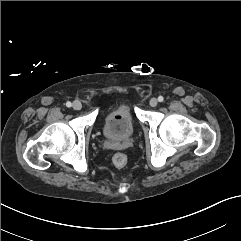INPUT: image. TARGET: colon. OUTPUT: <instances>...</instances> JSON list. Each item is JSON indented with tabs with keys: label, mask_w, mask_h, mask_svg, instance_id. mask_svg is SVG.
Segmentation results:
<instances>
[{
	"label": "colon",
	"mask_w": 241,
	"mask_h": 241,
	"mask_svg": "<svg viewBox=\"0 0 241 241\" xmlns=\"http://www.w3.org/2000/svg\"><path fill=\"white\" fill-rule=\"evenodd\" d=\"M127 156L124 153H116L113 157V163L116 167H124L127 164Z\"/></svg>",
	"instance_id": "1"
}]
</instances>
